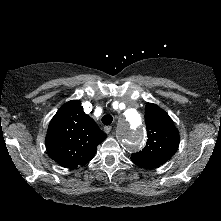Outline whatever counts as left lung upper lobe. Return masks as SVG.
Here are the masks:
<instances>
[{
	"mask_svg": "<svg viewBox=\"0 0 221 221\" xmlns=\"http://www.w3.org/2000/svg\"><path fill=\"white\" fill-rule=\"evenodd\" d=\"M145 121L148 140L140 152L134 153V164L151 169L167 162L179 146V133L169 115L152 103L146 104Z\"/></svg>",
	"mask_w": 221,
	"mask_h": 221,
	"instance_id": "left-lung-upper-lobe-1",
	"label": "left lung upper lobe"
}]
</instances>
